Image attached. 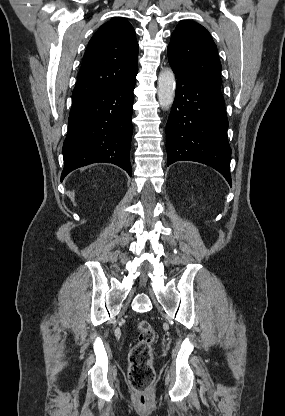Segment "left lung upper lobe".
<instances>
[{"mask_svg":"<svg viewBox=\"0 0 285 416\" xmlns=\"http://www.w3.org/2000/svg\"><path fill=\"white\" fill-rule=\"evenodd\" d=\"M171 67L207 87L221 90V63L209 32L193 21L180 22L167 47Z\"/></svg>","mask_w":285,"mask_h":416,"instance_id":"1","label":"left lung upper lobe"}]
</instances>
